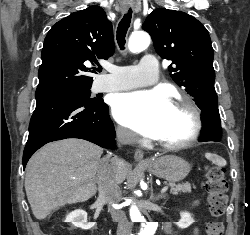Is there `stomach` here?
<instances>
[{"label": "stomach", "mask_w": 250, "mask_h": 235, "mask_svg": "<svg viewBox=\"0 0 250 235\" xmlns=\"http://www.w3.org/2000/svg\"><path fill=\"white\" fill-rule=\"evenodd\" d=\"M153 175L169 182H179L190 172V164L176 155H165L145 165Z\"/></svg>", "instance_id": "stomach-1"}]
</instances>
